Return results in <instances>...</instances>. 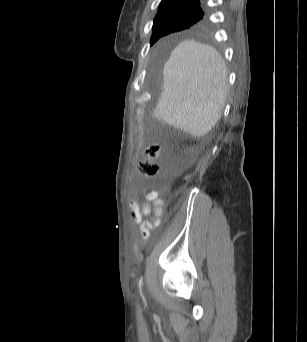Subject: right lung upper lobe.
I'll return each mask as SVG.
<instances>
[{
    "label": "right lung upper lobe",
    "mask_w": 307,
    "mask_h": 342,
    "mask_svg": "<svg viewBox=\"0 0 307 342\" xmlns=\"http://www.w3.org/2000/svg\"><path fill=\"white\" fill-rule=\"evenodd\" d=\"M204 1L201 0H162L159 5L158 14L173 10H203ZM208 25V16L206 13L193 25L186 28L190 32H203Z\"/></svg>",
    "instance_id": "cb5924a9"
}]
</instances>
